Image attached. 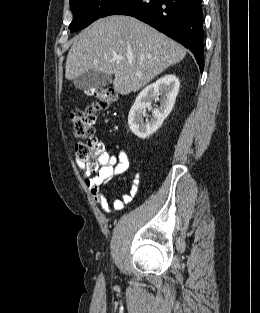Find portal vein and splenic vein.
Returning a JSON list of instances; mask_svg holds the SVG:
<instances>
[{"mask_svg":"<svg viewBox=\"0 0 260 313\" xmlns=\"http://www.w3.org/2000/svg\"><path fill=\"white\" fill-rule=\"evenodd\" d=\"M128 60H129V62H131L132 61V57H129Z\"/></svg>","mask_w":260,"mask_h":313,"instance_id":"portal-vein-and-splenic-vein-1","label":"portal vein and splenic vein"}]
</instances>
